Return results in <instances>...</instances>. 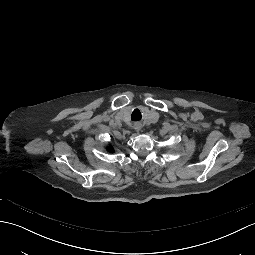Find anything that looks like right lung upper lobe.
I'll use <instances>...</instances> for the list:
<instances>
[{
	"label": "right lung upper lobe",
	"instance_id": "obj_1",
	"mask_svg": "<svg viewBox=\"0 0 255 255\" xmlns=\"http://www.w3.org/2000/svg\"><path fill=\"white\" fill-rule=\"evenodd\" d=\"M109 150H110V151H113L111 147H109Z\"/></svg>",
	"mask_w": 255,
	"mask_h": 255
}]
</instances>
